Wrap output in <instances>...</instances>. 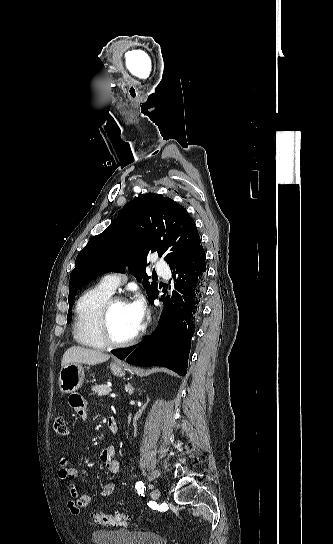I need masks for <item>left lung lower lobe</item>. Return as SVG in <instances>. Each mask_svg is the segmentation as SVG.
Returning a JSON list of instances; mask_svg holds the SVG:
<instances>
[{
	"label": "left lung lower lobe",
	"mask_w": 333,
	"mask_h": 544,
	"mask_svg": "<svg viewBox=\"0 0 333 544\" xmlns=\"http://www.w3.org/2000/svg\"><path fill=\"white\" fill-rule=\"evenodd\" d=\"M206 255L202 245L181 265L172 268L174 290L152 335L138 345L115 349L119 359L138 366H163L184 376L188 366L194 322L201 312L205 291ZM158 297L156 293L151 299Z\"/></svg>",
	"instance_id": "0a47b994"
}]
</instances>
